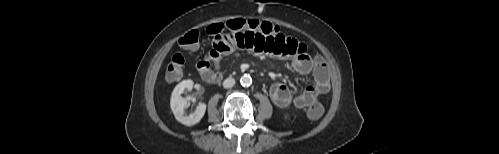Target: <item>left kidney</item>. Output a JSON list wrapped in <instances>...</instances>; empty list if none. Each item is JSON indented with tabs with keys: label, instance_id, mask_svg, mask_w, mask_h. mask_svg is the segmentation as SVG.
<instances>
[{
	"label": "left kidney",
	"instance_id": "obj_1",
	"mask_svg": "<svg viewBox=\"0 0 499 154\" xmlns=\"http://www.w3.org/2000/svg\"><path fill=\"white\" fill-rule=\"evenodd\" d=\"M285 118L288 119L289 117L287 115H285Z\"/></svg>",
	"mask_w": 499,
	"mask_h": 154
}]
</instances>
